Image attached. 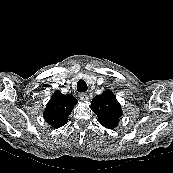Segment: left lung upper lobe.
<instances>
[{"label": "left lung upper lobe", "instance_id": "obj_1", "mask_svg": "<svg viewBox=\"0 0 173 173\" xmlns=\"http://www.w3.org/2000/svg\"><path fill=\"white\" fill-rule=\"evenodd\" d=\"M91 109L98 116L99 122L108 129L115 128L122 115L120 104L110 90L95 96L91 102Z\"/></svg>", "mask_w": 173, "mask_h": 173}]
</instances>
